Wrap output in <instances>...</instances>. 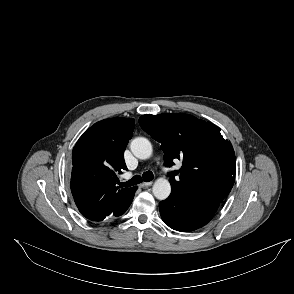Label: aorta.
<instances>
[{
  "label": "aorta",
  "mask_w": 294,
  "mask_h": 294,
  "mask_svg": "<svg viewBox=\"0 0 294 294\" xmlns=\"http://www.w3.org/2000/svg\"><path fill=\"white\" fill-rule=\"evenodd\" d=\"M130 148L132 153L142 160L150 158L152 154V145L150 141L144 137L133 139ZM152 192L158 200H165L171 193V185L167 179L158 178L152 187Z\"/></svg>",
  "instance_id": "obj_1"
}]
</instances>
